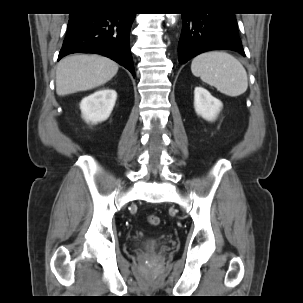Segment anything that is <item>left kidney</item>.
Returning <instances> with one entry per match:
<instances>
[{"label": "left kidney", "instance_id": "obj_1", "mask_svg": "<svg viewBox=\"0 0 303 303\" xmlns=\"http://www.w3.org/2000/svg\"><path fill=\"white\" fill-rule=\"evenodd\" d=\"M223 104L220 100L213 97L203 87H195L194 90V107L195 111L202 118L213 121L221 111Z\"/></svg>", "mask_w": 303, "mask_h": 303}]
</instances>
